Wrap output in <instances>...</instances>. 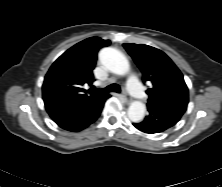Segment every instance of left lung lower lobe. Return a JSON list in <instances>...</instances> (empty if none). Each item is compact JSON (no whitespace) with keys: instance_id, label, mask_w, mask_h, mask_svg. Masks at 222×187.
Masks as SVG:
<instances>
[{"instance_id":"left-lung-lower-lobe-1","label":"left lung lower lobe","mask_w":222,"mask_h":187,"mask_svg":"<svg viewBox=\"0 0 222 187\" xmlns=\"http://www.w3.org/2000/svg\"><path fill=\"white\" fill-rule=\"evenodd\" d=\"M187 104L178 102L154 103L147 105L148 115L133 125L140 131L156 134L175 125L186 111Z\"/></svg>"}]
</instances>
